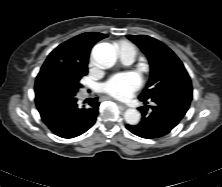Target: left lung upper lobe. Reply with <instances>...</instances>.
<instances>
[{"label":"left lung upper lobe","instance_id":"left-lung-upper-lobe-1","mask_svg":"<svg viewBox=\"0 0 222 187\" xmlns=\"http://www.w3.org/2000/svg\"><path fill=\"white\" fill-rule=\"evenodd\" d=\"M146 55L150 64V80L139 96L141 101L152 100L163 92L192 87L183 63L165 44L146 35H128Z\"/></svg>","mask_w":222,"mask_h":187}]
</instances>
